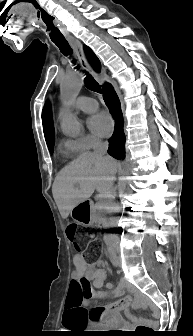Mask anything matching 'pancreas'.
I'll return each instance as SVG.
<instances>
[{
  "mask_svg": "<svg viewBox=\"0 0 193 336\" xmlns=\"http://www.w3.org/2000/svg\"><path fill=\"white\" fill-rule=\"evenodd\" d=\"M95 212L97 213V218L95 217V221L100 222L101 226L106 224V221L103 218L104 212L101 210L99 206H95Z\"/></svg>",
  "mask_w": 193,
  "mask_h": 336,
  "instance_id": "pancreas-1",
  "label": "pancreas"
}]
</instances>
